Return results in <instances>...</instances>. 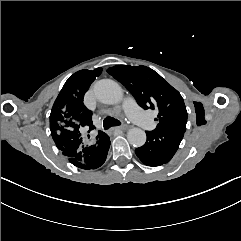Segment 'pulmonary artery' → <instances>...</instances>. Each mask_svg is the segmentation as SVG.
<instances>
[{
    "mask_svg": "<svg viewBox=\"0 0 241 241\" xmlns=\"http://www.w3.org/2000/svg\"><path fill=\"white\" fill-rule=\"evenodd\" d=\"M121 107L125 114L138 125L145 126L149 123V114L138 104L137 99L132 94L126 93V100Z\"/></svg>",
    "mask_w": 241,
    "mask_h": 241,
    "instance_id": "obj_1",
    "label": "pulmonary artery"
}]
</instances>
